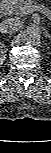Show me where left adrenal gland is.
<instances>
[{"label": "left adrenal gland", "mask_w": 51, "mask_h": 153, "mask_svg": "<svg viewBox=\"0 0 51 153\" xmlns=\"http://www.w3.org/2000/svg\"><path fill=\"white\" fill-rule=\"evenodd\" d=\"M46 37H49V34L48 33L46 34Z\"/></svg>", "instance_id": "obj_1"}]
</instances>
